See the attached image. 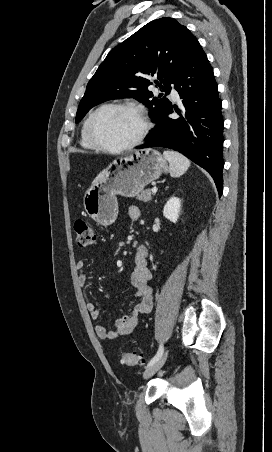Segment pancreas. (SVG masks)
I'll return each instance as SVG.
<instances>
[{
    "instance_id": "obj_1",
    "label": "pancreas",
    "mask_w": 272,
    "mask_h": 452,
    "mask_svg": "<svg viewBox=\"0 0 272 452\" xmlns=\"http://www.w3.org/2000/svg\"><path fill=\"white\" fill-rule=\"evenodd\" d=\"M136 198L143 202H149L152 199L151 190L146 189L144 191H141V193L138 194Z\"/></svg>"
}]
</instances>
